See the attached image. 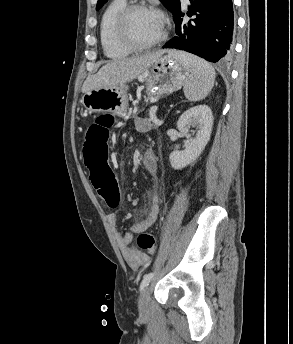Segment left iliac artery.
I'll use <instances>...</instances> for the list:
<instances>
[{
	"mask_svg": "<svg viewBox=\"0 0 293 344\" xmlns=\"http://www.w3.org/2000/svg\"><path fill=\"white\" fill-rule=\"evenodd\" d=\"M153 273H147L143 276L142 282L140 284V291L144 290L147 287L153 278Z\"/></svg>",
	"mask_w": 293,
	"mask_h": 344,
	"instance_id": "left-iliac-artery-1",
	"label": "left iliac artery"
}]
</instances>
